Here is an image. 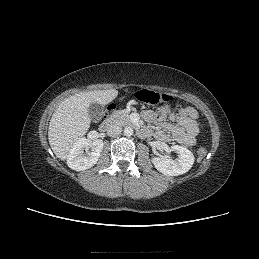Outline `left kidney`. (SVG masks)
I'll return each instance as SVG.
<instances>
[{
  "mask_svg": "<svg viewBox=\"0 0 259 259\" xmlns=\"http://www.w3.org/2000/svg\"><path fill=\"white\" fill-rule=\"evenodd\" d=\"M171 151L177 153L178 158L172 160L168 156L153 157L152 162L155 168L169 176H178L188 172L194 164V155L187 148L179 145L171 146Z\"/></svg>",
  "mask_w": 259,
  "mask_h": 259,
  "instance_id": "obj_1",
  "label": "left kidney"
}]
</instances>
